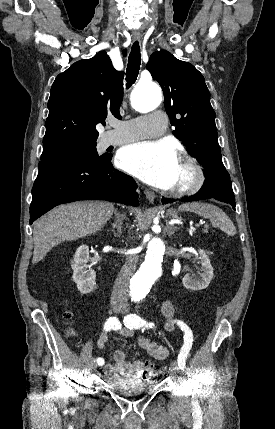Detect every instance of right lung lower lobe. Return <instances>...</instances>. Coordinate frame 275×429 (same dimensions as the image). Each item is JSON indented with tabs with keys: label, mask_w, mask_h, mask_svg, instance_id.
<instances>
[{
	"label": "right lung lower lobe",
	"mask_w": 275,
	"mask_h": 429,
	"mask_svg": "<svg viewBox=\"0 0 275 429\" xmlns=\"http://www.w3.org/2000/svg\"><path fill=\"white\" fill-rule=\"evenodd\" d=\"M111 158L90 165H63L39 171L32 189L29 223L59 204L77 200L138 206L136 182L115 170Z\"/></svg>",
	"instance_id": "98d812e1"
}]
</instances>
